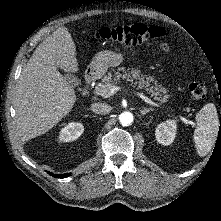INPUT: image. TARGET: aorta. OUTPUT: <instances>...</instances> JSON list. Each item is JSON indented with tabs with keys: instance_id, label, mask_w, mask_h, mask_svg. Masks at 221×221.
Instances as JSON below:
<instances>
[{
	"instance_id": "obj_1",
	"label": "aorta",
	"mask_w": 221,
	"mask_h": 221,
	"mask_svg": "<svg viewBox=\"0 0 221 221\" xmlns=\"http://www.w3.org/2000/svg\"><path fill=\"white\" fill-rule=\"evenodd\" d=\"M119 120L123 126H128L133 122V115L130 112H123L120 114Z\"/></svg>"
}]
</instances>
